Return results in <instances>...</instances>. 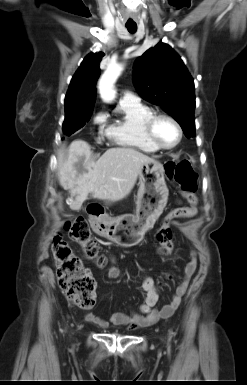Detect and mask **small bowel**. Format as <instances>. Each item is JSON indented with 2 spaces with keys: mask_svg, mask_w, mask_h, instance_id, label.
<instances>
[{
  "mask_svg": "<svg viewBox=\"0 0 247 385\" xmlns=\"http://www.w3.org/2000/svg\"><path fill=\"white\" fill-rule=\"evenodd\" d=\"M198 200L195 197V201L190 203V206L179 207L183 209L185 213L182 217H194L197 212ZM110 261L113 266L108 271V277L116 279L120 275V270L115 265L116 259L114 256H110ZM197 268V258L195 251H191L190 259L185 263L183 268L182 279L172 296L170 302L163 306L161 309L155 308L159 295V285L148 275L143 274L142 287L147 292L144 302L140 305L139 311L127 313L124 311H115L109 320L101 318L94 313H87L85 318L89 323L95 324L99 327L105 328L110 323L113 325L129 326L130 328H138L142 326L151 325L159 319H166L172 316L175 310L179 307L184 294L187 291L190 280L193 277Z\"/></svg>",
  "mask_w": 247,
  "mask_h": 385,
  "instance_id": "1",
  "label": "small bowel"
}]
</instances>
